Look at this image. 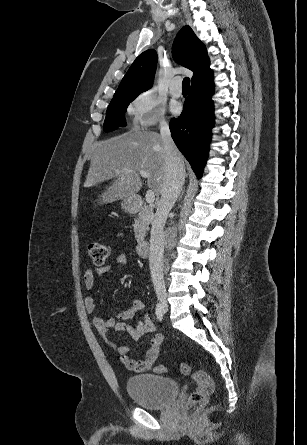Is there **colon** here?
<instances>
[{
	"mask_svg": "<svg viewBox=\"0 0 307 445\" xmlns=\"http://www.w3.org/2000/svg\"><path fill=\"white\" fill-rule=\"evenodd\" d=\"M88 254L93 264L101 267L106 263L110 255V248L106 244L91 243L88 246ZM154 370L157 373H163L166 371V367L158 365ZM179 370L183 375L190 374L197 384V388L189 397V408L194 409L205 405L214 392V382L212 378L203 370H193L192 366L187 362L181 363Z\"/></svg>",
	"mask_w": 307,
	"mask_h": 445,
	"instance_id": "5ec220e1",
	"label": "colon"
}]
</instances>
